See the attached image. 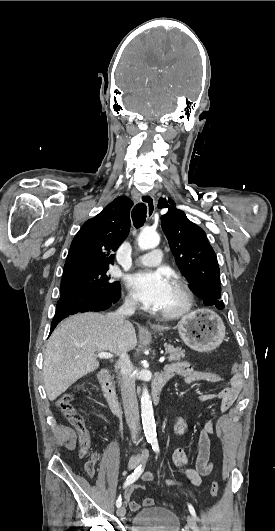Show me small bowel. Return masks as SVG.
Instances as JSON below:
<instances>
[{"label": "small bowel", "mask_w": 275, "mask_h": 531, "mask_svg": "<svg viewBox=\"0 0 275 531\" xmlns=\"http://www.w3.org/2000/svg\"><path fill=\"white\" fill-rule=\"evenodd\" d=\"M165 372L170 375V378L178 375L182 378L183 382L187 385L207 382L219 384L224 381V378L214 372L208 371H199L193 369L187 362L179 361L166 365ZM242 387V376L241 374H234L229 382V385L223 388L217 393L204 392L199 396V400L202 402H209L215 399H221L220 409L222 412L229 410L233 404L236 402L240 390ZM215 425L212 420L205 422L203 428L199 432L198 441H197V454L193 459L190 454L184 448H177L171 454V465L172 467L181 475L185 476L193 485L199 486L202 482V478L208 476L213 468V461L211 459V441L210 435L214 432ZM175 434L178 436H183L186 432V425L182 419L178 418L174 427ZM81 449V447H80ZM89 449V447H88ZM87 449V451H88ZM86 451V453H87ZM90 459H97L99 461V455L93 453ZM190 465L194 467L191 468ZM91 478L94 475H86ZM153 479V476L149 472H144L142 474V480L149 482ZM166 484L169 486L178 487L181 486V483L174 479H166ZM135 485H130L124 488L123 498L126 503H128L129 510L131 512H138L142 507H151L153 505V500L150 498H144L141 501H136L132 499Z\"/></svg>", "instance_id": "1"}]
</instances>
